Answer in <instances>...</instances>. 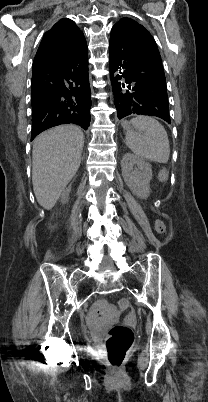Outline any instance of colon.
I'll list each match as a JSON object with an SVG mask.
<instances>
[{
	"label": "colon",
	"mask_w": 208,
	"mask_h": 402,
	"mask_svg": "<svg viewBox=\"0 0 208 402\" xmlns=\"http://www.w3.org/2000/svg\"><path fill=\"white\" fill-rule=\"evenodd\" d=\"M160 180L166 182L167 173L165 170L161 172ZM155 227L159 234L162 236L167 235L168 225L164 219L157 218L155 220ZM121 308L128 310L124 324H109L105 345L108 361L113 365H119L123 362L130 347L131 340L135 336V331L131 329L135 324L134 319L131 318L133 309H129L131 308V303H122Z\"/></svg>",
	"instance_id": "1"
}]
</instances>
